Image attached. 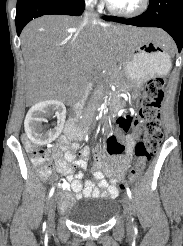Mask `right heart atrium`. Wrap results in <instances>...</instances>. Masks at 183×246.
<instances>
[{
	"label": "right heart atrium",
	"mask_w": 183,
	"mask_h": 246,
	"mask_svg": "<svg viewBox=\"0 0 183 246\" xmlns=\"http://www.w3.org/2000/svg\"><path fill=\"white\" fill-rule=\"evenodd\" d=\"M87 1H89V2H96L97 0H87Z\"/></svg>",
	"instance_id": "obj_1"
}]
</instances>
